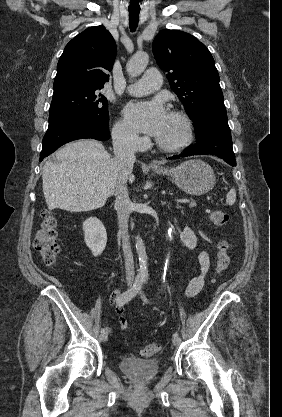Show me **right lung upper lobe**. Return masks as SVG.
Here are the masks:
<instances>
[{
    "label": "right lung upper lobe",
    "mask_w": 282,
    "mask_h": 417,
    "mask_svg": "<svg viewBox=\"0 0 282 417\" xmlns=\"http://www.w3.org/2000/svg\"><path fill=\"white\" fill-rule=\"evenodd\" d=\"M116 44L103 26L89 27L65 47L54 80V92L75 88H103L109 81Z\"/></svg>",
    "instance_id": "cb5924a9"
}]
</instances>
